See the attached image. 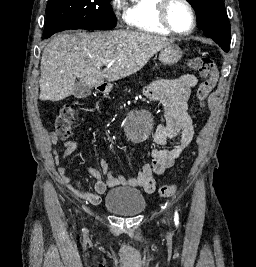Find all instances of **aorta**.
Here are the masks:
<instances>
[{
  "label": "aorta",
  "mask_w": 256,
  "mask_h": 267,
  "mask_svg": "<svg viewBox=\"0 0 256 267\" xmlns=\"http://www.w3.org/2000/svg\"><path fill=\"white\" fill-rule=\"evenodd\" d=\"M138 117H126L128 127H152V122H148V108H139ZM151 133H155V128H126V138H132V143H145V138H151Z\"/></svg>",
  "instance_id": "obj_1"
}]
</instances>
